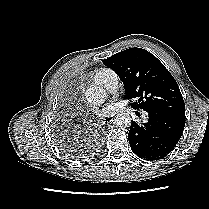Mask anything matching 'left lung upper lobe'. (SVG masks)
<instances>
[{
  "instance_id": "5c2ea615",
  "label": "left lung upper lobe",
  "mask_w": 209,
  "mask_h": 209,
  "mask_svg": "<svg viewBox=\"0 0 209 209\" xmlns=\"http://www.w3.org/2000/svg\"><path fill=\"white\" fill-rule=\"evenodd\" d=\"M124 84L126 98L134 109L169 113L185 118L184 101L173 76L150 52L129 48L102 61Z\"/></svg>"
}]
</instances>
